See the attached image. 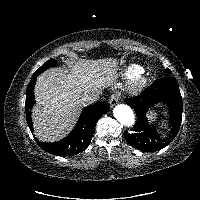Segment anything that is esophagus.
<instances>
[{
    "label": "esophagus",
    "instance_id": "obj_1",
    "mask_svg": "<svg viewBox=\"0 0 200 200\" xmlns=\"http://www.w3.org/2000/svg\"><path fill=\"white\" fill-rule=\"evenodd\" d=\"M120 100V94L119 93H114L111 95L109 99V104L111 107H114L116 104H118Z\"/></svg>",
    "mask_w": 200,
    "mask_h": 200
}]
</instances>
